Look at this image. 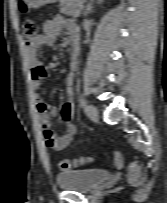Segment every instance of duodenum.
I'll return each instance as SVG.
<instances>
[{
    "label": "duodenum",
    "mask_w": 167,
    "mask_h": 203,
    "mask_svg": "<svg viewBox=\"0 0 167 203\" xmlns=\"http://www.w3.org/2000/svg\"><path fill=\"white\" fill-rule=\"evenodd\" d=\"M79 54V44L77 40H74L71 45V56L76 58Z\"/></svg>",
    "instance_id": "1"
}]
</instances>
